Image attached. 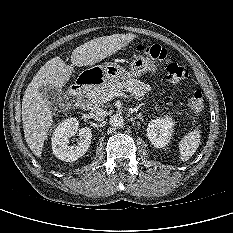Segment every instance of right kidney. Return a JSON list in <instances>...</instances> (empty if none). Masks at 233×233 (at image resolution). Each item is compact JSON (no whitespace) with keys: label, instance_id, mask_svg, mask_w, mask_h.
Here are the masks:
<instances>
[{"label":"right kidney","instance_id":"obj_1","mask_svg":"<svg viewBox=\"0 0 233 233\" xmlns=\"http://www.w3.org/2000/svg\"><path fill=\"white\" fill-rule=\"evenodd\" d=\"M78 125V120L72 117L63 120L55 128L52 136V150L58 159L73 162L82 157L88 150L92 132L87 127L78 129ZM76 133L79 134L77 144L69 145L70 138Z\"/></svg>","mask_w":233,"mask_h":233}]
</instances>
